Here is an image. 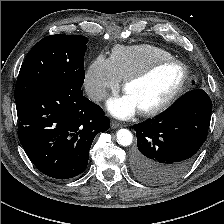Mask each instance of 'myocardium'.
Instances as JSON below:
<instances>
[{"label": "myocardium", "mask_w": 224, "mask_h": 224, "mask_svg": "<svg viewBox=\"0 0 224 224\" xmlns=\"http://www.w3.org/2000/svg\"><path fill=\"white\" fill-rule=\"evenodd\" d=\"M169 64H177L182 69L183 74H182V78H181L178 86L172 92V94L167 99H165L163 102H161L160 104H158L152 108H149V109L139 110L140 115L145 116V117H152V116L159 115V114L163 113L164 111H166L167 109H169L180 98V96L184 92L186 84L189 80V70H188L187 66L182 61H180L176 58H166V59H159V60L152 62L151 64H149L142 70L135 72L124 79L123 91L126 93L129 85L147 78L148 76H150L152 73H154L160 67H163V66L169 65Z\"/></svg>", "instance_id": "myocardium-1"}]
</instances>
